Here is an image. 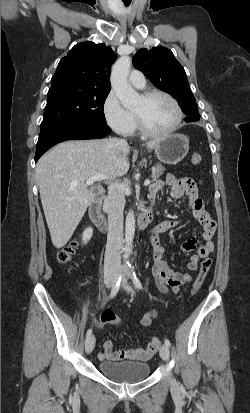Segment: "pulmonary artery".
<instances>
[{"mask_svg":"<svg viewBox=\"0 0 250 413\" xmlns=\"http://www.w3.org/2000/svg\"><path fill=\"white\" fill-rule=\"evenodd\" d=\"M129 82L136 88H144L145 77L141 71L135 69L130 72Z\"/></svg>","mask_w":250,"mask_h":413,"instance_id":"obj_1","label":"pulmonary artery"}]
</instances>
